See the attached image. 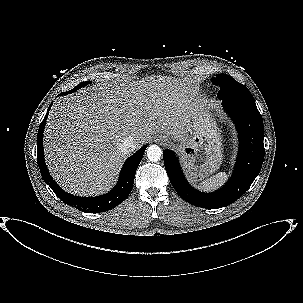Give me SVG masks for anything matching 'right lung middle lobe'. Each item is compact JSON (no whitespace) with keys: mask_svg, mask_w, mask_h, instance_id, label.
<instances>
[{"mask_svg":"<svg viewBox=\"0 0 303 303\" xmlns=\"http://www.w3.org/2000/svg\"><path fill=\"white\" fill-rule=\"evenodd\" d=\"M92 82L91 81H85V82H82L80 84H78L77 86H75L72 90H70L69 92H67L68 94L69 93H73L75 91H77L79 88L83 87V86H86L87 84H91Z\"/></svg>","mask_w":303,"mask_h":303,"instance_id":"dd1d6c3e","label":"right lung middle lobe"}]
</instances>
